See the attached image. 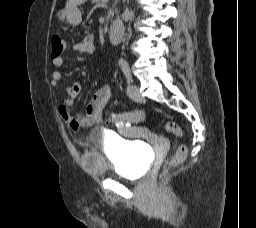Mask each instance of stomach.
<instances>
[{"mask_svg": "<svg viewBox=\"0 0 256 228\" xmlns=\"http://www.w3.org/2000/svg\"><path fill=\"white\" fill-rule=\"evenodd\" d=\"M57 19L60 22L66 21L69 25L77 26L82 21V13L77 6L71 9L65 8L57 12Z\"/></svg>", "mask_w": 256, "mask_h": 228, "instance_id": "stomach-1", "label": "stomach"}]
</instances>
